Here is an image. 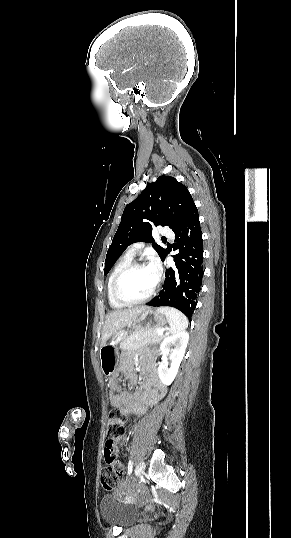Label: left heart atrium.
<instances>
[{
    "label": "left heart atrium",
    "instance_id": "1",
    "mask_svg": "<svg viewBox=\"0 0 291 538\" xmlns=\"http://www.w3.org/2000/svg\"><path fill=\"white\" fill-rule=\"evenodd\" d=\"M148 269L151 271V273L155 276L156 279L159 277L161 268L157 259H153L150 262Z\"/></svg>",
    "mask_w": 291,
    "mask_h": 538
}]
</instances>
